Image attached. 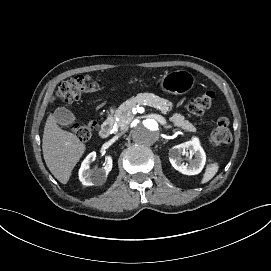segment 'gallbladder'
Listing matches in <instances>:
<instances>
[{"instance_id":"gallbladder-1","label":"gallbladder","mask_w":271,"mask_h":271,"mask_svg":"<svg viewBox=\"0 0 271 271\" xmlns=\"http://www.w3.org/2000/svg\"><path fill=\"white\" fill-rule=\"evenodd\" d=\"M74 119V115L64 107L57 108L53 113V121L60 125H68Z\"/></svg>"}]
</instances>
